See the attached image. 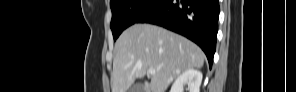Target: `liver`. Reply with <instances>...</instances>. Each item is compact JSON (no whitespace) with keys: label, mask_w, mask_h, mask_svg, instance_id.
I'll use <instances>...</instances> for the list:
<instances>
[{"label":"liver","mask_w":296,"mask_h":92,"mask_svg":"<svg viewBox=\"0 0 296 92\" xmlns=\"http://www.w3.org/2000/svg\"><path fill=\"white\" fill-rule=\"evenodd\" d=\"M112 92H127L137 78L154 69L143 92H165L170 83L187 69L201 68L203 51L185 37L151 24H134L115 44Z\"/></svg>","instance_id":"1"}]
</instances>
